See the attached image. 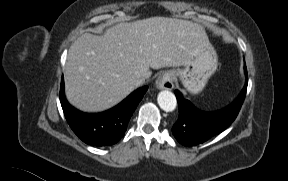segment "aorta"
<instances>
[{
    "label": "aorta",
    "instance_id": "1",
    "mask_svg": "<svg viewBox=\"0 0 288 181\" xmlns=\"http://www.w3.org/2000/svg\"><path fill=\"white\" fill-rule=\"evenodd\" d=\"M157 102L160 108L166 112L173 111L177 106L175 95L168 90H163L158 94Z\"/></svg>",
    "mask_w": 288,
    "mask_h": 181
}]
</instances>
